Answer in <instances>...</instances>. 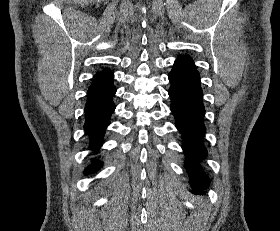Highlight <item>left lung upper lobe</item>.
Segmentation results:
<instances>
[{"instance_id": "5c2ea615", "label": "left lung upper lobe", "mask_w": 280, "mask_h": 231, "mask_svg": "<svg viewBox=\"0 0 280 231\" xmlns=\"http://www.w3.org/2000/svg\"><path fill=\"white\" fill-rule=\"evenodd\" d=\"M174 67L185 70H196V67L190 56H179L174 63Z\"/></svg>"}]
</instances>
